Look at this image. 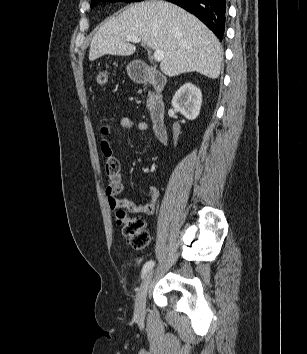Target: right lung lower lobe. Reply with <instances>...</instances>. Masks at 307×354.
Segmentation results:
<instances>
[{
  "mask_svg": "<svg viewBox=\"0 0 307 354\" xmlns=\"http://www.w3.org/2000/svg\"><path fill=\"white\" fill-rule=\"evenodd\" d=\"M198 17L222 40L226 20V0H167Z\"/></svg>",
  "mask_w": 307,
  "mask_h": 354,
  "instance_id": "1",
  "label": "right lung lower lobe"
}]
</instances>
